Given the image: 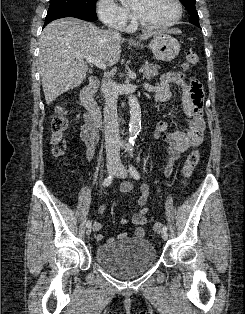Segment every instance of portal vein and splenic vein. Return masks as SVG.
<instances>
[{"instance_id":"obj_1","label":"portal vein and splenic vein","mask_w":245,"mask_h":314,"mask_svg":"<svg viewBox=\"0 0 245 314\" xmlns=\"http://www.w3.org/2000/svg\"><path fill=\"white\" fill-rule=\"evenodd\" d=\"M79 56L82 57V58H85L88 62L96 65L97 67H99L101 69H106L105 63L102 60H100L99 58H97V57L83 56V55H79ZM143 72H144V69L141 68L139 70V73H143Z\"/></svg>"}]
</instances>
